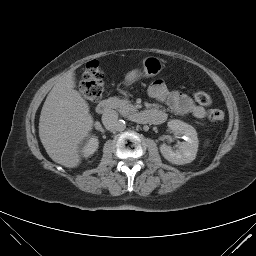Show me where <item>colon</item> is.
<instances>
[{"label": "colon", "instance_id": "5ec220e1", "mask_svg": "<svg viewBox=\"0 0 256 256\" xmlns=\"http://www.w3.org/2000/svg\"><path fill=\"white\" fill-rule=\"evenodd\" d=\"M79 90L89 101H98L102 97L104 91L103 72L98 61L93 60L87 63ZM193 97L196 102L203 106H209L212 102L211 96L202 91H196ZM207 118L211 122L219 123L224 120V113L219 109H211L207 113Z\"/></svg>", "mask_w": 256, "mask_h": 256}]
</instances>
